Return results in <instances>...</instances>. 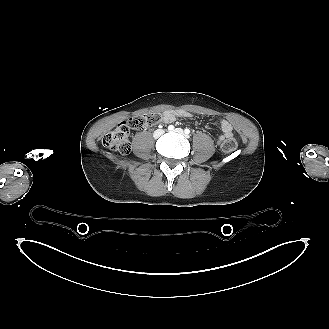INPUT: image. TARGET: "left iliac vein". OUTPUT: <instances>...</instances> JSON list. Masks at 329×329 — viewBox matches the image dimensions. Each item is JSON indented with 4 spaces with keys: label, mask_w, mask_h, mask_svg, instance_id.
Listing matches in <instances>:
<instances>
[{
    "label": "left iliac vein",
    "mask_w": 329,
    "mask_h": 329,
    "mask_svg": "<svg viewBox=\"0 0 329 329\" xmlns=\"http://www.w3.org/2000/svg\"><path fill=\"white\" fill-rule=\"evenodd\" d=\"M174 131L179 134H184V131L181 128H176Z\"/></svg>",
    "instance_id": "obj_1"
}]
</instances>
